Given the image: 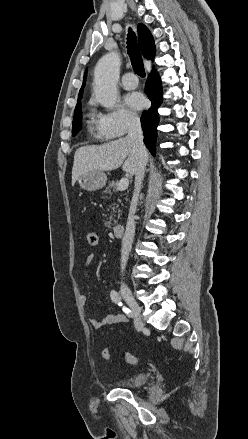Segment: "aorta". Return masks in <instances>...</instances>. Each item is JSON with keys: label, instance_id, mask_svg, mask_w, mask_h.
Segmentation results:
<instances>
[{"label": "aorta", "instance_id": "aorta-1", "mask_svg": "<svg viewBox=\"0 0 248 439\" xmlns=\"http://www.w3.org/2000/svg\"><path fill=\"white\" fill-rule=\"evenodd\" d=\"M120 57L111 52L104 55L94 70V93L99 103L113 108L117 100V82L119 79Z\"/></svg>", "mask_w": 248, "mask_h": 439}]
</instances>
